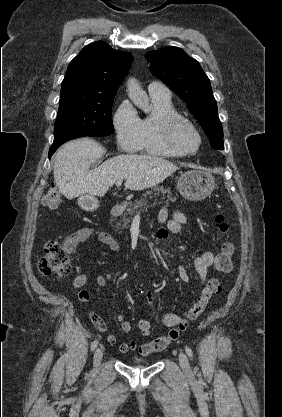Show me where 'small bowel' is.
Instances as JSON below:
<instances>
[{
    "mask_svg": "<svg viewBox=\"0 0 282 417\" xmlns=\"http://www.w3.org/2000/svg\"><path fill=\"white\" fill-rule=\"evenodd\" d=\"M158 221L164 226L157 232V242L160 243L167 236L168 232L173 234L182 233L186 224V217L181 211L176 210L174 211L172 218H169L168 209L166 207H162L158 211ZM92 237L98 238L99 241L107 245L115 253H119L121 251L120 245L107 232L93 227H82L78 229L67 237L65 244L69 249H72L79 243ZM215 259L216 255L209 251L203 252L195 257L194 269L202 282L207 280L209 268L212 267V263ZM177 273L181 281H190L191 276L186 266L180 265L177 269ZM86 282L87 275L80 274L76 276L70 284L72 289H79L78 299L81 302H88L90 299V292L83 288ZM95 282L98 286L104 287L107 284V278L103 274H97L95 276ZM146 296L148 301L153 303L154 295L150 289L146 290ZM89 315L97 330L100 332H107V325L105 321L97 313L90 311ZM176 318H182V316L175 313H164L161 317V324L170 328L171 323H175ZM116 319L120 324L121 330L125 334H130L132 332L133 326L128 321L124 313H118ZM138 327L143 337H152L154 335V323L152 321L141 319L138 321ZM107 341L114 345L118 342V339L115 335L108 333ZM138 349L139 344L134 339L124 341L119 344V351L122 354L134 352Z\"/></svg>",
    "mask_w": 282,
    "mask_h": 417,
    "instance_id": "small-bowel-1",
    "label": "small bowel"
}]
</instances>
